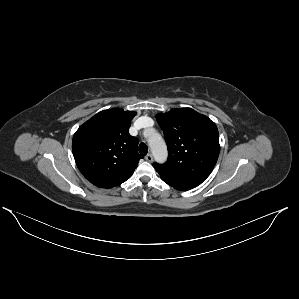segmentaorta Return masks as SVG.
Wrapping results in <instances>:
<instances>
[{
	"instance_id": "762f6f07",
	"label": "aorta",
	"mask_w": 299,
	"mask_h": 299,
	"mask_svg": "<svg viewBox=\"0 0 299 299\" xmlns=\"http://www.w3.org/2000/svg\"><path fill=\"white\" fill-rule=\"evenodd\" d=\"M148 143L155 160L159 163H164L167 160V147L161 135L153 133L148 139Z\"/></svg>"
}]
</instances>
